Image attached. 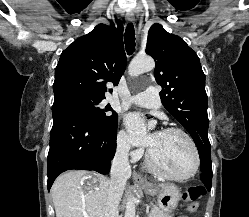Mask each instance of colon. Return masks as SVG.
<instances>
[{
    "label": "colon",
    "mask_w": 249,
    "mask_h": 217,
    "mask_svg": "<svg viewBox=\"0 0 249 217\" xmlns=\"http://www.w3.org/2000/svg\"><path fill=\"white\" fill-rule=\"evenodd\" d=\"M205 190L201 186L188 188L184 193V199L189 202L188 211L195 212L198 209V201L204 196Z\"/></svg>",
    "instance_id": "1"
}]
</instances>
